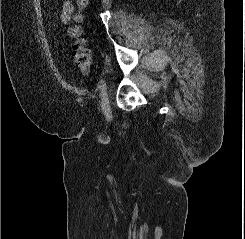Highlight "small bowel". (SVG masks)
Masks as SVG:
<instances>
[{"label": "small bowel", "instance_id": "c3829d8e", "mask_svg": "<svg viewBox=\"0 0 245 239\" xmlns=\"http://www.w3.org/2000/svg\"><path fill=\"white\" fill-rule=\"evenodd\" d=\"M74 11V7L71 1L67 0L63 3L62 9H61V20L64 23L69 22L70 17Z\"/></svg>", "mask_w": 245, "mask_h": 239}]
</instances>
